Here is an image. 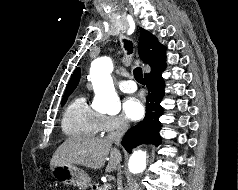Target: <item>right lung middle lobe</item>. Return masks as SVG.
Masks as SVG:
<instances>
[{
    "label": "right lung middle lobe",
    "mask_w": 238,
    "mask_h": 190,
    "mask_svg": "<svg viewBox=\"0 0 238 190\" xmlns=\"http://www.w3.org/2000/svg\"><path fill=\"white\" fill-rule=\"evenodd\" d=\"M71 93H66L64 94L63 101H62V106L66 103L67 98L70 96Z\"/></svg>",
    "instance_id": "obj_1"
}]
</instances>
